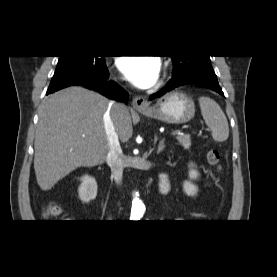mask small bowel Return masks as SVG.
Instances as JSON below:
<instances>
[{
  "instance_id": "obj_1",
  "label": "small bowel",
  "mask_w": 277,
  "mask_h": 277,
  "mask_svg": "<svg viewBox=\"0 0 277 277\" xmlns=\"http://www.w3.org/2000/svg\"><path fill=\"white\" fill-rule=\"evenodd\" d=\"M162 178H163V175L161 176L160 184H161V190L164 191L166 188V183L162 180Z\"/></svg>"
}]
</instances>
